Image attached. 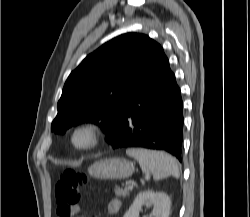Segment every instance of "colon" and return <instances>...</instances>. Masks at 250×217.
<instances>
[{
  "label": "colon",
  "mask_w": 250,
  "mask_h": 217,
  "mask_svg": "<svg viewBox=\"0 0 250 217\" xmlns=\"http://www.w3.org/2000/svg\"><path fill=\"white\" fill-rule=\"evenodd\" d=\"M85 181L86 176L75 170H66L59 175L55 184V200L60 214L66 215L78 205Z\"/></svg>",
  "instance_id": "colon-1"
}]
</instances>
